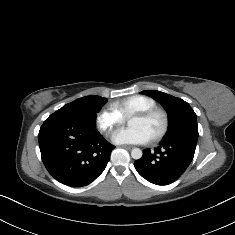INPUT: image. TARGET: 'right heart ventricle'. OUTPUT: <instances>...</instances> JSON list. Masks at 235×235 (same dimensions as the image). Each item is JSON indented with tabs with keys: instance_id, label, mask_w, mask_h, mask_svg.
<instances>
[{
	"instance_id": "1",
	"label": "right heart ventricle",
	"mask_w": 235,
	"mask_h": 235,
	"mask_svg": "<svg viewBox=\"0 0 235 235\" xmlns=\"http://www.w3.org/2000/svg\"><path fill=\"white\" fill-rule=\"evenodd\" d=\"M112 105L117 113L126 118L138 112L156 107V102L148 96L137 94L122 98Z\"/></svg>"
}]
</instances>
